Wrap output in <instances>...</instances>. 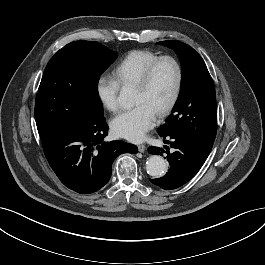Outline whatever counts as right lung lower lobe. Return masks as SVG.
I'll return each instance as SVG.
<instances>
[{
	"label": "right lung lower lobe",
	"instance_id": "98d812e1",
	"mask_svg": "<svg viewBox=\"0 0 265 265\" xmlns=\"http://www.w3.org/2000/svg\"><path fill=\"white\" fill-rule=\"evenodd\" d=\"M107 134L102 116L42 139L50 166L66 187L80 194L96 192L109 181L118 155L137 152L123 141L104 142Z\"/></svg>",
	"mask_w": 265,
	"mask_h": 265
}]
</instances>
